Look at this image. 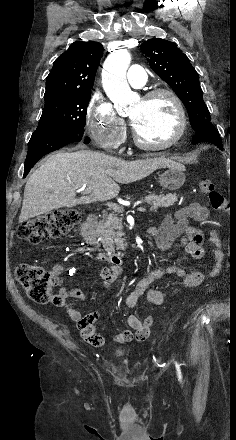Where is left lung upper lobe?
I'll list each match as a JSON object with an SVG mask.
<instances>
[{
	"mask_svg": "<svg viewBox=\"0 0 236 440\" xmlns=\"http://www.w3.org/2000/svg\"><path fill=\"white\" fill-rule=\"evenodd\" d=\"M141 51L149 57V65L184 103L195 131L212 124L196 70L174 42L152 38L143 42Z\"/></svg>",
	"mask_w": 236,
	"mask_h": 440,
	"instance_id": "5c2ea615",
	"label": "left lung upper lobe"
}]
</instances>
